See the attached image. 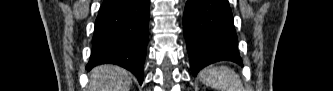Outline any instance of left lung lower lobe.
I'll return each instance as SVG.
<instances>
[{
  "mask_svg": "<svg viewBox=\"0 0 333 91\" xmlns=\"http://www.w3.org/2000/svg\"><path fill=\"white\" fill-rule=\"evenodd\" d=\"M228 0H190L183 28L193 75L218 61L240 63L237 36Z\"/></svg>",
  "mask_w": 333,
  "mask_h": 91,
  "instance_id": "left-lung-lower-lobe-1",
  "label": "left lung lower lobe"
}]
</instances>
